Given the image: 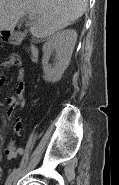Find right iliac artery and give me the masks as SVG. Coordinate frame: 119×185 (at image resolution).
I'll list each match as a JSON object with an SVG mask.
<instances>
[{
  "instance_id": "obj_1",
  "label": "right iliac artery",
  "mask_w": 119,
  "mask_h": 185,
  "mask_svg": "<svg viewBox=\"0 0 119 185\" xmlns=\"http://www.w3.org/2000/svg\"><path fill=\"white\" fill-rule=\"evenodd\" d=\"M19 171V169H14L13 172L8 176L5 185H11L14 177L16 176L17 172Z\"/></svg>"
}]
</instances>
